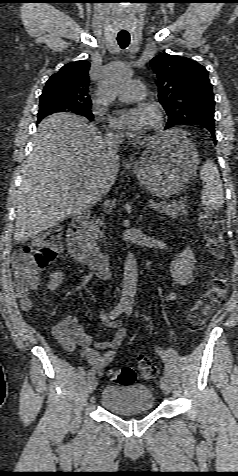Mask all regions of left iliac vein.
<instances>
[{
  "label": "left iliac vein",
  "instance_id": "obj_1",
  "mask_svg": "<svg viewBox=\"0 0 238 476\" xmlns=\"http://www.w3.org/2000/svg\"><path fill=\"white\" fill-rule=\"evenodd\" d=\"M160 387L164 393L168 394L170 392V383L166 376L160 378Z\"/></svg>",
  "mask_w": 238,
  "mask_h": 476
}]
</instances>
